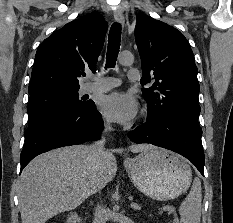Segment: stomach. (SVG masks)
<instances>
[{
	"label": "stomach",
	"mask_w": 233,
	"mask_h": 223,
	"mask_svg": "<svg viewBox=\"0 0 233 223\" xmlns=\"http://www.w3.org/2000/svg\"><path fill=\"white\" fill-rule=\"evenodd\" d=\"M125 167L135 187L159 201L178 197L190 187L192 179L187 159L160 147H151L133 159H125Z\"/></svg>",
	"instance_id": "1"
}]
</instances>
